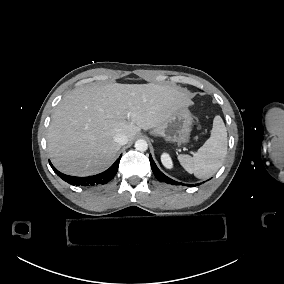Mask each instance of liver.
Here are the masks:
<instances>
[{"mask_svg": "<svg viewBox=\"0 0 284 284\" xmlns=\"http://www.w3.org/2000/svg\"><path fill=\"white\" fill-rule=\"evenodd\" d=\"M185 91L167 85H87L66 94L56 106L48 130L53 164L71 175H91L108 168L123 133L133 141L141 129L165 123L182 108L194 106Z\"/></svg>", "mask_w": 284, "mask_h": 284, "instance_id": "1", "label": "liver"}]
</instances>
